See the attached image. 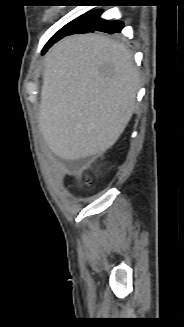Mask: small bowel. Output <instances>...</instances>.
Returning a JSON list of instances; mask_svg holds the SVG:
<instances>
[{"label": "small bowel", "instance_id": "c3829d8e", "mask_svg": "<svg viewBox=\"0 0 184 327\" xmlns=\"http://www.w3.org/2000/svg\"><path fill=\"white\" fill-rule=\"evenodd\" d=\"M74 170L72 165H59L55 167L56 177L60 180H63L66 176L71 174Z\"/></svg>", "mask_w": 184, "mask_h": 327}]
</instances>
